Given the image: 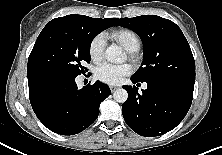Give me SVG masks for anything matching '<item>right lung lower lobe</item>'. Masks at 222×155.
Instances as JSON below:
<instances>
[{
  "label": "right lung lower lobe",
  "instance_id": "right-lung-lower-lobe-1",
  "mask_svg": "<svg viewBox=\"0 0 222 155\" xmlns=\"http://www.w3.org/2000/svg\"><path fill=\"white\" fill-rule=\"evenodd\" d=\"M111 91L99 81L78 89L75 78L51 82V93L44 99L30 97L38 119L51 131L74 135L89 127L99 115V105Z\"/></svg>",
  "mask_w": 222,
  "mask_h": 155
}]
</instances>
